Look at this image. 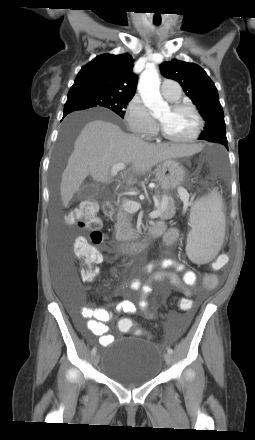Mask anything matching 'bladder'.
Returning <instances> with one entry per match:
<instances>
[{
  "mask_svg": "<svg viewBox=\"0 0 255 440\" xmlns=\"http://www.w3.org/2000/svg\"><path fill=\"white\" fill-rule=\"evenodd\" d=\"M124 341L131 339L125 338ZM162 367V354L152 342L136 338L134 343L107 347L102 373L127 388H137L156 378Z\"/></svg>",
  "mask_w": 255,
  "mask_h": 440,
  "instance_id": "31cf9c89",
  "label": "bladder"
}]
</instances>
